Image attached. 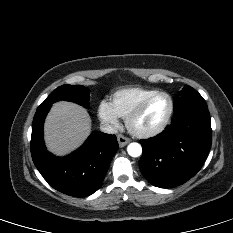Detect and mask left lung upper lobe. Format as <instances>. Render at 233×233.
<instances>
[{
	"mask_svg": "<svg viewBox=\"0 0 233 233\" xmlns=\"http://www.w3.org/2000/svg\"><path fill=\"white\" fill-rule=\"evenodd\" d=\"M194 106L207 107V104L203 97L196 90L186 85L175 97L174 112L175 114H178Z\"/></svg>",
	"mask_w": 233,
	"mask_h": 233,
	"instance_id": "left-lung-upper-lobe-1",
	"label": "left lung upper lobe"
}]
</instances>
